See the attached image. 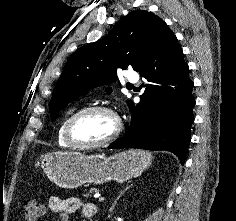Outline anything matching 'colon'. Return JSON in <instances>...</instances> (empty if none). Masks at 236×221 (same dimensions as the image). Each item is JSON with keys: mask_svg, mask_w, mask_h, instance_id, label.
Segmentation results:
<instances>
[{"mask_svg": "<svg viewBox=\"0 0 236 221\" xmlns=\"http://www.w3.org/2000/svg\"><path fill=\"white\" fill-rule=\"evenodd\" d=\"M43 211V205L36 200L29 199L22 204V212L25 221H37L43 214Z\"/></svg>", "mask_w": 236, "mask_h": 221, "instance_id": "1", "label": "colon"}]
</instances>
